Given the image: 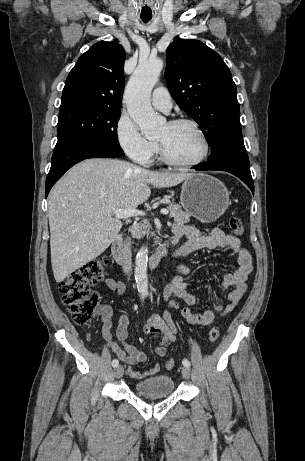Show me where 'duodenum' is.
Masks as SVG:
<instances>
[{"label":"duodenum","instance_id":"410a0bca","mask_svg":"<svg viewBox=\"0 0 305 461\" xmlns=\"http://www.w3.org/2000/svg\"><path fill=\"white\" fill-rule=\"evenodd\" d=\"M177 241L178 239L174 237L169 243L174 244ZM169 243L160 245L152 253L149 259V264L151 267H156L167 256ZM123 244H124V241H123L122 236H117L111 244L112 258L116 263L120 265H125L127 263V255L124 251Z\"/></svg>","mask_w":305,"mask_h":461}]
</instances>
